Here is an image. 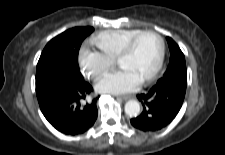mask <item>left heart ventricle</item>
I'll return each mask as SVG.
<instances>
[{"instance_id": "left-heart-ventricle-1", "label": "left heart ventricle", "mask_w": 225, "mask_h": 155, "mask_svg": "<svg viewBox=\"0 0 225 155\" xmlns=\"http://www.w3.org/2000/svg\"><path fill=\"white\" fill-rule=\"evenodd\" d=\"M160 51L159 40L151 34L142 36L135 44L132 52L118 64L133 72L141 81L154 69Z\"/></svg>"}]
</instances>
